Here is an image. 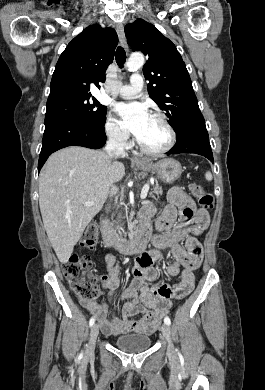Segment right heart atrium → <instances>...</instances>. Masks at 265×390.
<instances>
[{
	"instance_id": "1",
	"label": "right heart atrium",
	"mask_w": 265,
	"mask_h": 390,
	"mask_svg": "<svg viewBox=\"0 0 265 390\" xmlns=\"http://www.w3.org/2000/svg\"><path fill=\"white\" fill-rule=\"evenodd\" d=\"M105 131L108 138L115 144L121 147H127L129 145V134L122 127L120 122L111 114H108Z\"/></svg>"
}]
</instances>
